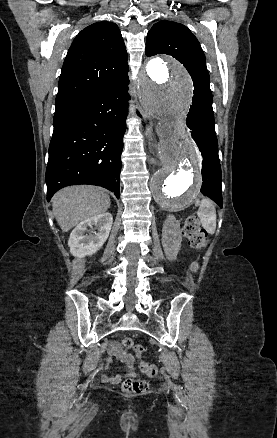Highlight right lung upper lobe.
I'll use <instances>...</instances> for the list:
<instances>
[{
	"mask_svg": "<svg viewBox=\"0 0 277 438\" xmlns=\"http://www.w3.org/2000/svg\"><path fill=\"white\" fill-rule=\"evenodd\" d=\"M110 62V71L97 65ZM78 66V68H75ZM128 72L127 51L115 23L97 22L79 32L65 58L56 96V108L122 79Z\"/></svg>",
	"mask_w": 277,
	"mask_h": 438,
	"instance_id": "1",
	"label": "right lung upper lobe"
}]
</instances>
